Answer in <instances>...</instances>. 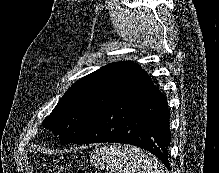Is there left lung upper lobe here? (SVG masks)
<instances>
[{
    "label": "left lung upper lobe",
    "instance_id": "5c2ea615",
    "mask_svg": "<svg viewBox=\"0 0 219 173\" xmlns=\"http://www.w3.org/2000/svg\"><path fill=\"white\" fill-rule=\"evenodd\" d=\"M142 68L133 62L108 64L74 83L42 122L59 135L61 144L73 143L95 116L126 87Z\"/></svg>",
    "mask_w": 219,
    "mask_h": 173
}]
</instances>
